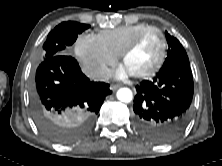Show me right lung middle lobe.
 I'll return each mask as SVG.
<instances>
[{
  "instance_id": "obj_1",
  "label": "right lung middle lobe",
  "mask_w": 222,
  "mask_h": 166,
  "mask_svg": "<svg viewBox=\"0 0 222 166\" xmlns=\"http://www.w3.org/2000/svg\"><path fill=\"white\" fill-rule=\"evenodd\" d=\"M89 25L74 21L62 22L56 26L47 36L43 45L45 51L44 60L59 54H65V49L71 46L77 39L78 34L89 28ZM53 123L52 121H50ZM36 123L41 132L52 140L61 142L56 138V131L46 123L42 117L36 118Z\"/></svg>"
}]
</instances>
